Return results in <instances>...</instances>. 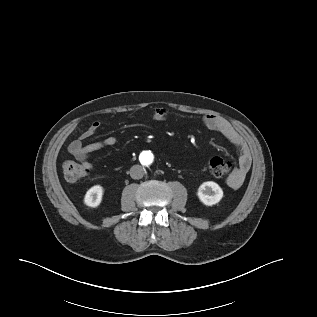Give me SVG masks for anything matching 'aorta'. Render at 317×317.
Returning <instances> with one entry per match:
<instances>
[{
    "label": "aorta",
    "instance_id": "aorta-1",
    "mask_svg": "<svg viewBox=\"0 0 317 317\" xmlns=\"http://www.w3.org/2000/svg\"><path fill=\"white\" fill-rule=\"evenodd\" d=\"M140 160L142 162V164H144L145 166L151 167L154 164V159L153 156L151 154H142L140 156Z\"/></svg>",
    "mask_w": 317,
    "mask_h": 317
}]
</instances>
